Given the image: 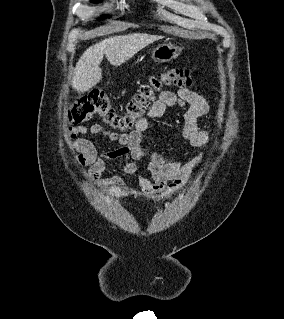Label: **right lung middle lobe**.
Returning a JSON list of instances; mask_svg holds the SVG:
<instances>
[{
    "instance_id": "obj_1",
    "label": "right lung middle lobe",
    "mask_w": 284,
    "mask_h": 319,
    "mask_svg": "<svg viewBox=\"0 0 284 319\" xmlns=\"http://www.w3.org/2000/svg\"><path fill=\"white\" fill-rule=\"evenodd\" d=\"M94 2H98V1H100V0H93ZM104 18H106V16H104V17H101V19H104Z\"/></svg>"
}]
</instances>
